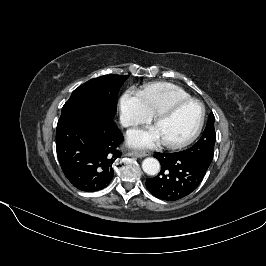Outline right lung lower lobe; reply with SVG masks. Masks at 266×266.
I'll return each instance as SVG.
<instances>
[{"label":"right lung lower lobe","instance_id":"obj_1","mask_svg":"<svg viewBox=\"0 0 266 266\" xmlns=\"http://www.w3.org/2000/svg\"><path fill=\"white\" fill-rule=\"evenodd\" d=\"M123 135L115 122L98 114H61L56 131L57 157L77 189L94 192L112 180V165L121 156Z\"/></svg>","mask_w":266,"mask_h":266}]
</instances>
